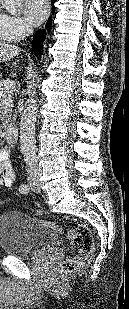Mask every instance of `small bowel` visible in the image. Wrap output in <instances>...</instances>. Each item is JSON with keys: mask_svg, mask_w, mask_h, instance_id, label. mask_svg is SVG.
<instances>
[{"mask_svg": "<svg viewBox=\"0 0 129 309\" xmlns=\"http://www.w3.org/2000/svg\"><path fill=\"white\" fill-rule=\"evenodd\" d=\"M15 181V172L7 148H0V187H10Z\"/></svg>", "mask_w": 129, "mask_h": 309, "instance_id": "1", "label": "small bowel"}]
</instances>
